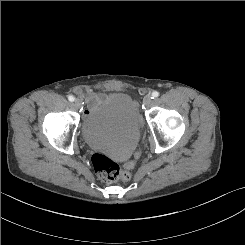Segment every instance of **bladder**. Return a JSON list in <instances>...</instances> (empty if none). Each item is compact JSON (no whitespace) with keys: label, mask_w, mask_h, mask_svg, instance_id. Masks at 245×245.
I'll use <instances>...</instances> for the list:
<instances>
[{"label":"bladder","mask_w":245,"mask_h":245,"mask_svg":"<svg viewBox=\"0 0 245 245\" xmlns=\"http://www.w3.org/2000/svg\"><path fill=\"white\" fill-rule=\"evenodd\" d=\"M81 134L92 149L105 151L118 158L129 156L140 137L135 101L122 92L107 95L84 117Z\"/></svg>","instance_id":"31cf9c89"}]
</instances>
